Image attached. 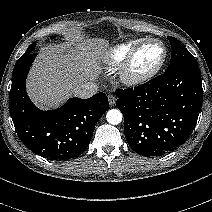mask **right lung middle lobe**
<instances>
[{
	"label": "right lung middle lobe",
	"mask_w": 212,
	"mask_h": 212,
	"mask_svg": "<svg viewBox=\"0 0 212 212\" xmlns=\"http://www.w3.org/2000/svg\"><path fill=\"white\" fill-rule=\"evenodd\" d=\"M35 46H36V43L31 44V46H29V48L27 49V51L24 54L32 52V50L35 48Z\"/></svg>",
	"instance_id": "right-lung-middle-lobe-1"
}]
</instances>
